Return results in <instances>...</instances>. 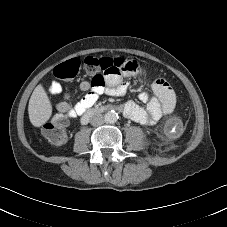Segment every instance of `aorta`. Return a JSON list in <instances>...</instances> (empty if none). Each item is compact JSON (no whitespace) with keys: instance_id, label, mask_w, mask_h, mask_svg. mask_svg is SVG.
I'll return each instance as SVG.
<instances>
[{"instance_id":"obj_1","label":"aorta","mask_w":227,"mask_h":227,"mask_svg":"<svg viewBox=\"0 0 227 227\" xmlns=\"http://www.w3.org/2000/svg\"><path fill=\"white\" fill-rule=\"evenodd\" d=\"M118 118V113L113 110L106 112L104 116L105 122L107 123H115L117 122Z\"/></svg>"}]
</instances>
